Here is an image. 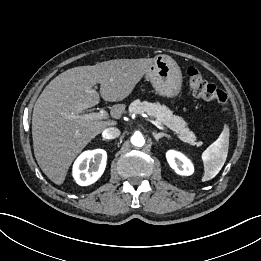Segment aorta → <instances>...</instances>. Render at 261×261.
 Wrapping results in <instances>:
<instances>
[{
  "instance_id": "1",
  "label": "aorta",
  "mask_w": 261,
  "mask_h": 261,
  "mask_svg": "<svg viewBox=\"0 0 261 261\" xmlns=\"http://www.w3.org/2000/svg\"><path fill=\"white\" fill-rule=\"evenodd\" d=\"M131 143L136 147H142L145 144V139L140 133H135L131 137Z\"/></svg>"
}]
</instances>
